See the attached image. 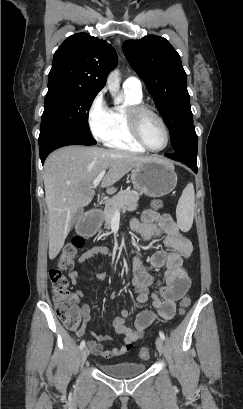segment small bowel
I'll use <instances>...</instances> for the list:
<instances>
[{"label": "small bowel", "instance_id": "1", "mask_svg": "<svg viewBox=\"0 0 243 409\" xmlns=\"http://www.w3.org/2000/svg\"><path fill=\"white\" fill-rule=\"evenodd\" d=\"M131 229L137 233L144 241L156 235H164V245L169 249L168 253L156 251L150 256V266L157 270L166 267L164 273V283L158 286L159 296L150 291L152 277L142 264L139 256L132 259V271L134 278L132 285L137 292V302L145 303L152 300L153 310L140 311L134 322V328L126 325V320L130 318L131 312L124 308L120 310L112 325L117 334L123 335L124 339L120 347L104 349L102 341L111 340V337L103 334H94L95 340L88 342L89 350L105 359H111L127 354L133 348L136 341L142 339L145 330L157 319L168 321L173 318L175 312V302L182 298L191 285V279L183 268L184 261L189 259L192 253V244L180 231L178 224L169 213H158L152 210H145L139 219L131 221ZM109 250L105 246H94L84 251L78 262L84 264L92 258L108 254ZM69 278L73 286L80 282V273L72 270ZM96 278L103 281L106 278L104 272L98 273ZM74 298L80 300L84 296L82 289L74 292ZM113 298V297H111ZM90 322V315L85 305L82 306V324L77 334L85 333V328Z\"/></svg>", "mask_w": 243, "mask_h": 409}]
</instances>
